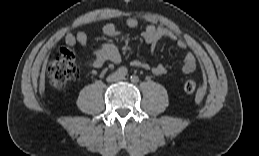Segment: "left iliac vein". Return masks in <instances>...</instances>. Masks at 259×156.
Instances as JSON below:
<instances>
[{"mask_svg":"<svg viewBox=\"0 0 259 156\" xmlns=\"http://www.w3.org/2000/svg\"><path fill=\"white\" fill-rule=\"evenodd\" d=\"M118 79L119 80H124L125 78L123 76H120Z\"/></svg>","mask_w":259,"mask_h":156,"instance_id":"4c4485c4","label":"left iliac vein"}]
</instances>
